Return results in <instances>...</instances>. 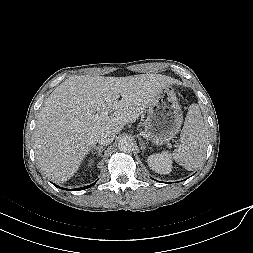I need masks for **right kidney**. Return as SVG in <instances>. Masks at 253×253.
Listing matches in <instances>:
<instances>
[{"instance_id":"obj_1","label":"right kidney","mask_w":253,"mask_h":253,"mask_svg":"<svg viewBox=\"0 0 253 253\" xmlns=\"http://www.w3.org/2000/svg\"><path fill=\"white\" fill-rule=\"evenodd\" d=\"M93 162H94L93 160H90V161H89V166H90V167H91V165H93Z\"/></svg>"}]
</instances>
